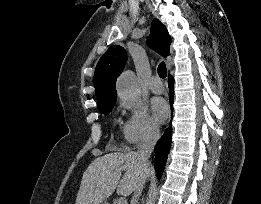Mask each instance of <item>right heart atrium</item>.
<instances>
[{"label": "right heart atrium", "instance_id": "d8ad5b80", "mask_svg": "<svg viewBox=\"0 0 261 204\" xmlns=\"http://www.w3.org/2000/svg\"><path fill=\"white\" fill-rule=\"evenodd\" d=\"M121 107L130 112L123 127L124 140L129 146L153 140L159 135V126L145 106L121 103Z\"/></svg>", "mask_w": 261, "mask_h": 204}]
</instances>
